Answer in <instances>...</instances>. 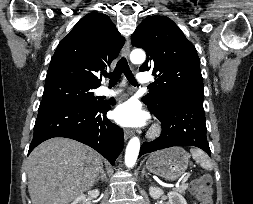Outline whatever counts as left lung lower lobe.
<instances>
[{"instance_id":"obj_1","label":"left lung lower lobe","mask_w":253,"mask_h":204,"mask_svg":"<svg viewBox=\"0 0 253 204\" xmlns=\"http://www.w3.org/2000/svg\"><path fill=\"white\" fill-rule=\"evenodd\" d=\"M148 108L160 120L163 130L159 138L142 144L139 157L146 153L181 145L196 146L211 155L206 137L203 102L175 105L164 114L156 113L149 106Z\"/></svg>"}]
</instances>
